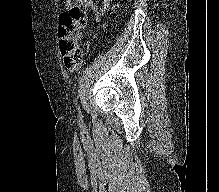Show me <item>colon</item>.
Masks as SVG:
<instances>
[{
	"label": "colon",
	"mask_w": 219,
	"mask_h": 192,
	"mask_svg": "<svg viewBox=\"0 0 219 192\" xmlns=\"http://www.w3.org/2000/svg\"><path fill=\"white\" fill-rule=\"evenodd\" d=\"M87 27V18L80 7H72L59 18V48L65 67L69 71L79 69L82 62L80 41Z\"/></svg>",
	"instance_id": "1"
}]
</instances>
